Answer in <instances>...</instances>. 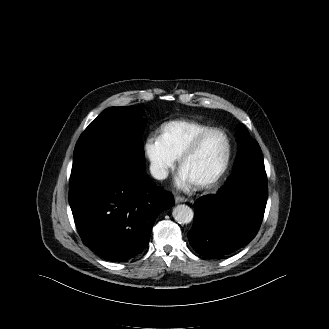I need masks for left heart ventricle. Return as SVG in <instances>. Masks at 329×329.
Here are the masks:
<instances>
[{
    "label": "left heart ventricle",
    "instance_id": "obj_1",
    "mask_svg": "<svg viewBox=\"0 0 329 329\" xmlns=\"http://www.w3.org/2000/svg\"><path fill=\"white\" fill-rule=\"evenodd\" d=\"M226 139L212 133L200 144L197 152L183 165L181 171L194 183L211 178L220 168L226 153Z\"/></svg>",
    "mask_w": 329,
    "mask_h": 329
}]
</instances>
